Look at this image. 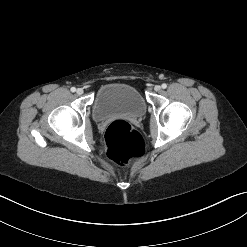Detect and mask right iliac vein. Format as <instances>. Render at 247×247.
I'll return each instance as SVG.
<instances>
[{"instance_id":"1","label":"right iliac vein","mask_w":247,"mask_h":247,"mask_svg":"<svg viewBox=\"0 0 247 247\" xmlns=\"http://www.w3.org/2000/svg\"><path fill=\"white\" fill-rule=\"evenodd\" d=\"M83 89L82 88H78L77 90H76V93L78 94V95H82L83 94Z\"/></svg>"}]
</instances>
